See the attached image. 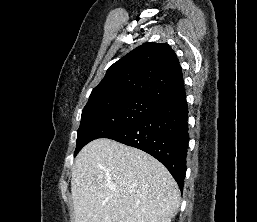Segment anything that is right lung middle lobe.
I'll list each match as a JSON object with an SVG mask.
<instances>
[{
	"label": "right lung middle lobe",
	"instance_id": "obj_1",
	"mask_svg": "<svg viewBox=\"0 0 257 222\" xmlns=\"http://www.w3.org/2000/svg\"><path fill=\"white\" fill-rule=\"evenodd\" d=\"M159 105L156 101L142 97L88 101L82 111L74 156L90 141L109 138L133 125Z\"/></svg>",
	"mask_w": 257,
	"mask_h": 222
}]
</instances>
